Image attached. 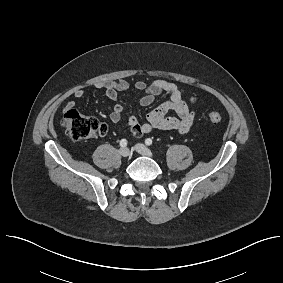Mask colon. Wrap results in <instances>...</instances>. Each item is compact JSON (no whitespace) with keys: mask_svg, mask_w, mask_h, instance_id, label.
<instances>
[{"mask_svg":"<svg viewBox=\"0 0 283 283\" xmlns=\"http://www.w3.org/2000/svg\"><path fill=\"white\" fill-rule=\"evenodd\" d=\"M208 119L212 124H218L222 121V115L219 112H211L208 115ZM62 125L69 137L74 141L102 136L107 130L105 124L77 110L67 111L62 119Z\"/></svg>","mask_w":283,"mask_h":283,"instance_id":"obj_1","label":"colon"}]
</instances>
